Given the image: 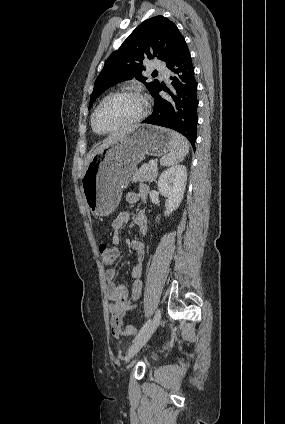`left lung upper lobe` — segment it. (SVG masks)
Listing matches in <instances>:
<instances>
[{
	"label": "left lung upper lobe",
	"mask_w": 285,
	"mask_h": 424,
	"mask_svg": "<svg viewBox=\"0 0 285 424\" xmlns=\"http://www.w3.org/2000/svg\"><path fill=\"white\" fill-rule=\"evenodd\" d=\"M180 36L176 25L163 16L141 23L106 60L95 81L89 109L101 93L124 80L136 78L153 93L160 85L159 81L146 82L147 78L142 75V62L157 58L167 63Z\"/></svg>",
	"instance_id": "obj_1"
}]
</instances>
